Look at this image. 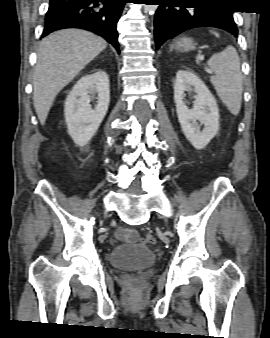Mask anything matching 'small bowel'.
Wrapping results in <instances>:
<instances>
[{
	"instance_id": "obj_1",
	"label": "small bowel",
	"mask_w": 270,
	"mask_h": 338,
	"mask_svg": "<svg viewBox=\"0 0 270 338\" xmlns=\"http://www.w3.org/2000/svg\"><path fill=\"white\" fill-rule=\"evenodd\" d=\"M118 237L120 239H135V232L131 229H120L118 231Z\"/></svg>"
}]
</instances>
